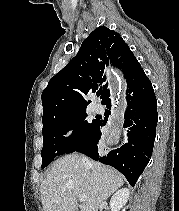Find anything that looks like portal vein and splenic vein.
<instances>
[{
  "instance_id": "portal-vein-and-splenic-vein-1",
  "label": "portal vein and splenic vein",
  "mask_w": 179,
  "mask_h": 211,
  "mask_svg": "<svg viewBox=\"0 0 179 211\" xmlns=\"http://www.w3.org/2000/svg\"><path fill=\"white\" fill-rule=\"evenodd\" d=\"M85 198H86V196L83 195V194H79V195H78V199H79L81 202H83V201L85 200Z\"/></svg>"
}]
</instances>
